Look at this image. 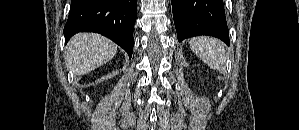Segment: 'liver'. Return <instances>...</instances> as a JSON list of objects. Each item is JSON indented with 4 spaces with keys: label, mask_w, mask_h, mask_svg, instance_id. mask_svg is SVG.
Wrapping results in <instances>:
<instances>
[{
    "label": "liver",
    "mask_w": 299,
    "mask_h": 130,
    "mask_svg": "<svg viewBox=\"0 0 299 130\" xmlns=\"http://www.w3.org/2000/svg\"><path fill=\"white\" fill-rule=\"evenodd\" d=\"M117 46L108 38L95 33H80L66 47V65L75 75L90 73L110 61Z\"/></svg>",
    "instance_id": "obj_1"
}]
</instances>
